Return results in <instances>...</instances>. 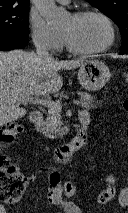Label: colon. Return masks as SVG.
I'll use <instances>...</instances> for the list:
<instances>
[{
    "instance_id": "colon-1",
    "label": "colon",
    "mask_w": 128,
    "mask_h": 213,
    "mask_svg": "<svg viewBox=\"0 0 128 213\" xmlns=\"http://www.w3.org/2000/svg\"><path fill=\"white\" fill-rule=\"evenodd\" d=\"M125 82L128 83V71L124 73ZM123 107L128 111V98L124 100ZM23 131V126L18 123H8L0 129V145L11 144L17 135ZM105 188L98 194V202L106 204L110 202L115 194V179L109 174L106 178ZM27 179L8 159L0 153V203H15L19 201L25 191ZM77 193L76 186L73 183H66L64 186V195L67 202L75 197ZM119 201L122 205L128 206V185L125 186L119 194Z\"/></svg>"
}]
</instances>
